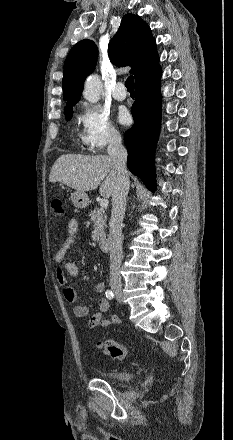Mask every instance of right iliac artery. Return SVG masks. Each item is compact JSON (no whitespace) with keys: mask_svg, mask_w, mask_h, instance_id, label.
Masks as SVG:
<instances>
[{"mask_svg":"<svg viewBox=\"0 0 233 440\" xmlns=\"http://www.w3.org/2000/svg\"><path fill=\"white\" fill-rule=\"evenodd\" d=\"M106 297L108 298V299H113V297H114V294H113V292L111 291V290H107L106 291Z\"/></svg>","mask_w":233,"mask_h":440,"instance_id":"82829eb1","label":"right iliac artery"}]
</instances>
